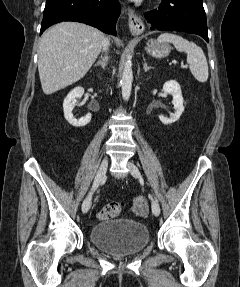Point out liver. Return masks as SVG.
Listing matches in <instances>:
<instances>
[{"instance_id":"1","label":"liver","mask_w":240,"mask_h":287,"mask_svg":"<svg viewBox=\"0 0 240 287\" xmlns=\"http://www.w3.org/2000/svg\"><path fill=\"white\" fill-rule=\"evenodd\" d=\"M105 35L77 22H62L40 39L38 71L42 90L50 95L85 76L101 52Z\"/></svg>"}]
</instances>
